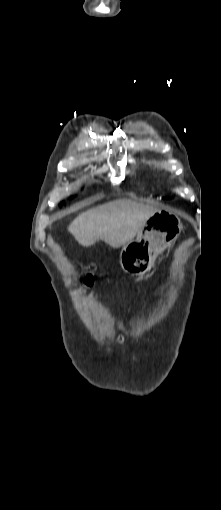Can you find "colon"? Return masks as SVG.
I'll use <instances>...</instances> for the list:
<instances>
[{
	"label": "colon",
	"mask_w": 221,
	"mask_h": 510,
	"mask_svg": "<svg viewBox=\"0 0 221 510\" xmlns=\"http://www.w3.org/2000/svg\"><path fill=\"white\" fill-rule=\"evenodd\" d=\"M92 276L90 274H87L85 277H84V283L87 287H90L91 284H92Z\"/></svg>",
	"instance_id": "obj_1"
}]
</instances>
